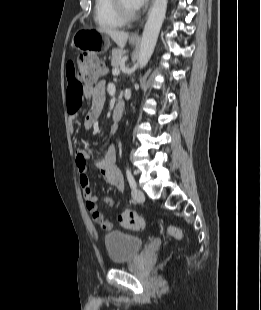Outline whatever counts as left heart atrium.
Segmentation results:
<instances>
[{
  "label": "left heart atrium",
  "mask_w": 261,
  "mask_h": 310,
  "mask_svg": "<svg viewBox=\"0 0 261 310\" xmlns=\"http://www.w3.org/2000/svg\"><path fill=\"white\" fill-rule=\"evenodd\" d=\"M130 1H131L132 6L135 8V10L140 9L147 2V0H130Z\"/></svg>",
  "instance_id": "obj_1"
}]
</instances>
